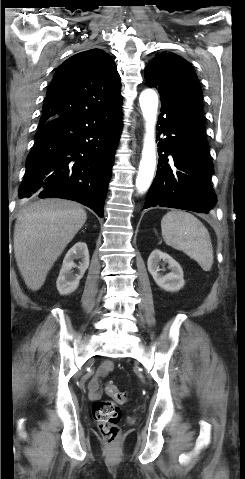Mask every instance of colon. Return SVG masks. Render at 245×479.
I'll use <instances>...</instances> for the list:
<instances>
[{
    "label": "colon",
    "instance_id": "1",
    "mask_svg": "<svg viewBox=\"0 0 245 479\" xmlns=\"http://www.w3.org/2000/svg\"><path fill=\"white\" fill-rule=\"evenodd\" d=\"M106 390L113 397V400L95 402L93 416L98 423L102 436L108 444H113L120 437V405H125L128 402V394L118 389L114 384H109Z\"/></svg>",
    "mask_w": 245,
    "mask_h": 479
}]
</instances>
